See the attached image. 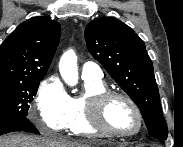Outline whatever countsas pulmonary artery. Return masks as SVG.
<instances>
[{"label": "pulmonary artery", "instance_id": "obj_1", "mask_svg": "<svg viewBox=\"0 0 183 147\" xmlns=\"http://www.w3.org/2000/svg\"><path fill=\"white\" fill-rule=\"evenodd\" d=\"M84 80L102 81L103 71L95 62H86L81 71Z\"/></svg>", "mask_w": 183, "mask_h": 147}]
</instances>
